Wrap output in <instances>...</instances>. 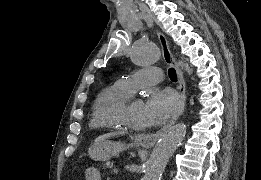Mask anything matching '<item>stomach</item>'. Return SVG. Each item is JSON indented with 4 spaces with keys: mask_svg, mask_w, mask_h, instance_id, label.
<instances>
[{
    "mask_svg": "<svg viewBox=\"0 0 261 180\" xmlns=\"http://www.w3.org/2000/svg\"><path fill=\"white\" fill-rule=\"evenodd\" d=\"M132 144L126 145L123 142L101 140L95 142L89 150V157L95 161H107L118 155L123 150L128 149Z\"/></svg>",
    "mask_w": 261,
    "mask_h": 180,
    "instance_id": "stomach-1",
    "label": "stomach"
}]
</instances>
